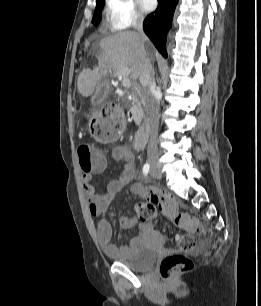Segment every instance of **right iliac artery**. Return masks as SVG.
<instances>
[{"mask_svg": "<svg viewBox=\"0 0 261 306\" xmlns=\"http://www.w3.org/2000/svg\"><path fill=\"white\" fill-rule=\"evenodd\" d=\"M150 170V165L148 163H146L143 167V174L144 176H147L148 172Z\"/></svg>", "mask_w": 261, "mask_h": 306, "instance_id": "right-iliac-artery-1", "label": "right iliac artery"}]
</instances>
